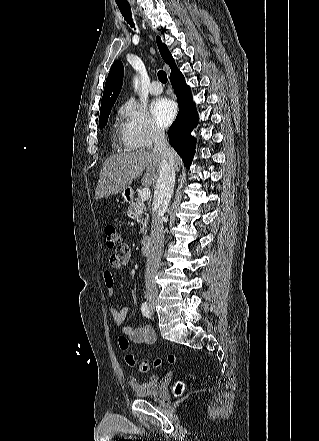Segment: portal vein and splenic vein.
I'll return each instance as SVG.
<instances>
[{"label":"portal vein and splenic vein","mask_w":319,"mask_h":441,"mask_svg":"<svg viewBox=\"0 0 319 441\" xmlns=\"http://www.w3.org/2000/svg\"><path fill=\"white\" fill-rule=\"evenodd\" d=\"M150 189L148 187H145L142 189V191L140 192V198L142 199V201H147L150 198Z\"/></svg>","instance_id":"obj_1"}]
</instances>
